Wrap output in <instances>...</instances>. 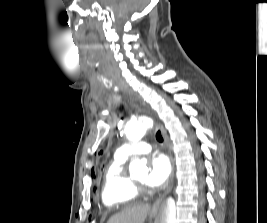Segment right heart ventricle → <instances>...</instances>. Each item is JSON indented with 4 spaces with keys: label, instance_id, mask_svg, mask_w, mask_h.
Wrapping results in <instances>:
<instances>
[{
    "label": "right heart ventricle",
    "instance_id": "e07e8e85",
    "mask_svg": "<svg viewBox=\"0 0 267 223\" xmlns=\"http://www.w3.org/2000/svg\"><path fill=\"white\" fill-rule=\"evenodd\" d=\"M126 160L116 154L104 174L101 201L110 209L127 205L137 197L125 172Z\"/></svg>",
    "mask_w": 267,
    "mask_h": 223
}]
</instances>
